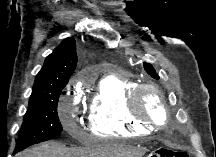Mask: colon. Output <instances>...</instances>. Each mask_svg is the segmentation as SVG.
<instances>
[{
  "mask_svg": "<svg viewBox=\"0 0 216 157\" xmlns=\"http://www.w3.org/2000/svg\"><path fill=\"white\" fill-rule=\"evenodd\" d=\"M151 157H189L188 153L182 150H174L169 147L158 148Z\"/></svg>",
  "mask_w": 216,
  "mask_h": 157,
  "instance_id": "obj_1",
  "label": "colon"
}]
</instances>
